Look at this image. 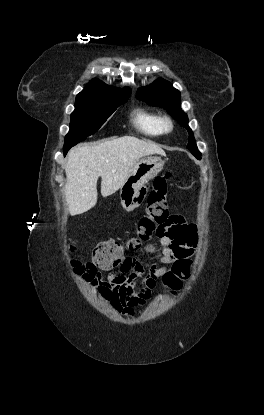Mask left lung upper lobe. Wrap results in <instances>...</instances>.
<instances>
[{
  "label": "left lung upper lobe",
  "instance_id": "left-lung-upper-lobe-1",
  "mask_svg": "<svg viewBox=\"0 0 264 415\" xmlns=\"http://www.w3.org/2000/svg\"><path fill=\"white\" fill-rule=\"evenodd\" d=\"M136 97L147 102L149 105L165 108L174 119H177L179 124L188 130L189 138L187 148L197 159L201 158V153L196 146L193 132L188 126L187 114L181 109L180 92L171 83L167 81L155 82L148 87L138 88Z\"/></svg>",
  "mask_w": 264,
  "mask_h": 415
}]
</instances>
